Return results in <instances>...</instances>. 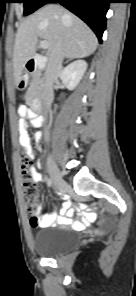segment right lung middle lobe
I'll list each match as a JSON object with an SVG mask.
<instances>
[{
  "instance_id": "right-lung-middle-lobe-1",
  "label": "right lung middle lobe",
  "mask_w": 136,
  "mask_h": 296,
  "mask_svg": "<svg viewBox=\"0 0 136 296\" xmlns=\"http://www.w3.org/2000/svg\"><path fill=\"white\" fill-rule=\"evenodd\" d=\"M47 0H19L20 3H24V14L28 15L46 4Z\"/></svg>"
}]
</instances>
